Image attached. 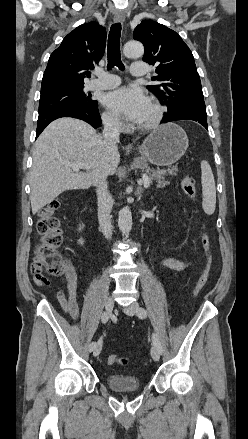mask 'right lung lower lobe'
<instances>
[{
  "label": "right lung lower lobe",
  "instance_id": "obj_1",
  "mask_svg": "<svg viewBox=\"0 0 248 439\" xmlns=\"http://www.w3.org/2000/svg\"><path fill=\"white\" fill-rule=\"evenodd\" d=\"M61 117H73L81 119L89 123L94 128L100 127L102 122L98 112V104L93 107H85L83 105L58 107L39 114L36 138L50 122Z\"/></svg>",
  "mask_w": 248,
  "mask_h": 439
}]
</instances>
